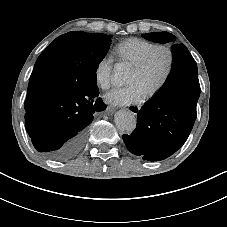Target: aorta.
Returning <instances> with one entry per match:
<instances>
[{
    "mask_svg": "<svg viewBox=\"0 0 227 227\" xmlns=\"http://www.w3.org/2000/svg\"><path fill=\"white\" fill-rule=\"evenodd\" d=\"M127 74V70L123 66H117L113 80L116 83L122 82ZM114 122L116 127L126 133H131L136 127V117L130 110H120L115 114Z\"/></svg>",
    "mask_w": 227,
    "mask_h": 227,
    "instance_id": "762f6f07",
    "label": "aorta"
}]
</instances>
